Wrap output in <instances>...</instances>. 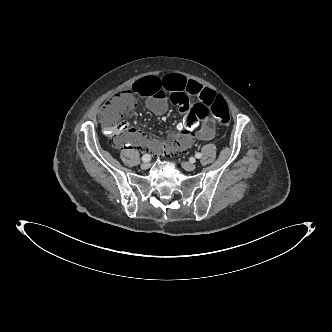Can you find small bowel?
Here are the masks:
<instances>
[{"label":"small bowel","mask_w":332,"mask_h":332,"mask_svg":"<svg viewBox=\"0 0 332 332\" xmlns=\"http://www.w3.org/2000/svg\"><path fill=\"white\" fill-rule=\"evenodd\" d=\"M131 89L138 97L146 100L148 109L156 115H163L169 103H173L180 108L183 115L191 111L190 98H199L208 110L215 93L200 83L189 80L181 74H166L164 76H141L132 81ZM99 120L102 124L103 110ZM122 145L126 148L142 147L148 148L156 153L175 152L186 149L191 144L192 139L211 140L215 136L214 122L208 117L194 131L178 132L176 139L172 142L161 143L157 139L148 136L137 128L129 127L127 122L120 125ZM180 134V136H179Z\"/></svg>","instance_id":"c3829d8e"}]
</instances>
